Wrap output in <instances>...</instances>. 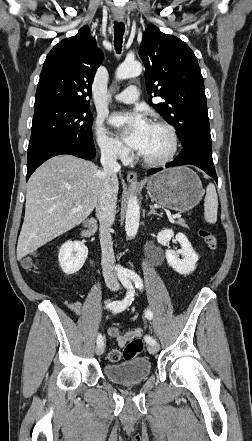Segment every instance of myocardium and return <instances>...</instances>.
Wrapping results in <instances>:
<instances>
[{"label": "myocardium", "instance_id": "obj_1", "mask_svg": "<svg viewBox=\"0 0 252 441\" xmlns=\"http://www.w3.org/2000/svg\"><path fill=\"white\" fill-rule=\"evenodd\" d=\"M151 125L156 126V127H160L167 132V134L170 138V142H171L170 150L165 156H163L162 158H159V159L147 158V157L143 156L141 153L139 154V157H140L141 161L147 166L161 167V166L166 165L170 161H172L173 158L175 157L177 150H178V144H179L178 143V136H177L175 128L166 121L154 120L151 123Z\"/></svg>", "mask_w": 252, "mask_h": 441}]
</instances>
